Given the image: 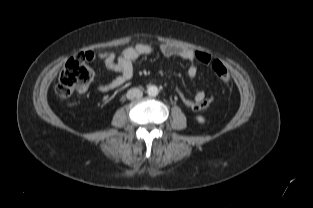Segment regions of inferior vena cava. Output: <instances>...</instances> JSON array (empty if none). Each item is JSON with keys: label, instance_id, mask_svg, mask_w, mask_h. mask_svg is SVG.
Instances as JSON below:
<instances>
[{"label": "inferior vena cava", "instance_id": "inferior-vena-cava-1", "mask_svg": "<svg viewBox=\"0 0 313 208\" xmlns=\"http://www.w3.org/2000/svg\"><path fill=\"white\" fill-rule=\"evenodd\" d=\"M143 95V92L138 89V88H132L130 90H128L127 94H126V97L130 100H133V99H139L141 98Z\"/></svg>", "mask_w": 313, "mask_h": 208}]
</instances>
